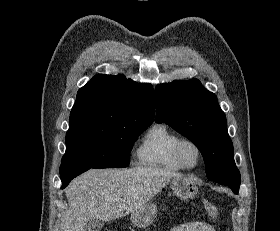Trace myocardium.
Instances as JSON below:
<instances>
[{"mask_svg": "<svg viewBox=\"0 0 280 231\" xmlns=\"http://www.w3.org/2000/svg\"><path fill=\"white\" fill-rule=\"evenodd\" d=\"M186 143L193 144L196 147V149L198 150V153H199V158H200L199 163L194 169H190V168L186 167L185 164L183 163V160H182V157H181V149H182L183 145L186 144ZM174 157L177 160L180 167L187 172L197 171L203 165L204 158H205L202 146L196 140H194L192 138H189V137H181L177 141L176 146L174 148Z\"/></svg>", "mask_w": 280, "mask_h": 231, "instance_id": "f54148a6", "label": "myocardium"}]
</instances>
